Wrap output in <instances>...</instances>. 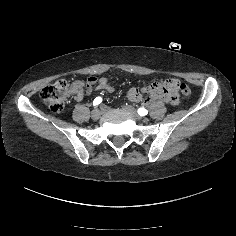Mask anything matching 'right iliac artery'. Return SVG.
Listing matches in <instances>:
<instances>
[{
    "mask_svg": "<svg viewBox=\"0 0 236 236\" xmlns=\"http://www.w3.org/2000/svg\"><path fill=\"white\" fill-rule=\"evenodd\" d=\"M101 102H102V98L96 97L93 101V105L96 106V105L100 104Z\"/></svg>",
    "mask_w": 236,
    "mask_h": 236,
    "instance_id": "82829eb1",
    "label": "right iliac artery"
}]
</instances>
